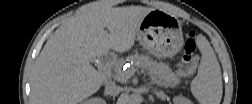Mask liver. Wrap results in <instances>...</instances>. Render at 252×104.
Segmentation results:
<instances>
[{"mask_svg":"<svg viewBox=\"0 0 252 104\" xmlns=\"http://www.w3.org/2000/svg\"><path fill=\"white\" fill-rule=\"evenodd\" d=\"M152 10L142 6L107 7L94 2L64 21L34 63L33 102L76 104L96 93L106 78L90 64L92 59L110 50L129 51L140 23Z\"/></svg>","mask_w":252,"mask_h":104,"instance_id":"obj_1","label":"liver"}]
</instances>
